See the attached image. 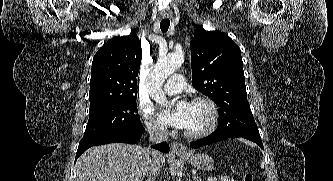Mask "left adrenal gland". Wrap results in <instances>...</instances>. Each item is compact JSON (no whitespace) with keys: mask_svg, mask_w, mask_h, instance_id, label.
Segmentation results:
<instances>
[{"mask_svg":"<svg viewBox=\"0 0 333 181\" xmlns=\"http://www.w3.org/2000/svg\"><path fill=\"white\" fill-rule=\"evenodd\" d=\"M194 181H202L200 178H198L197 176H193Z\"/></svg>","mask_w":333,"mask_h":181,"instance_id":"left-adrenal-gland-1","label":"left adrenal gland"}]
</instances>
